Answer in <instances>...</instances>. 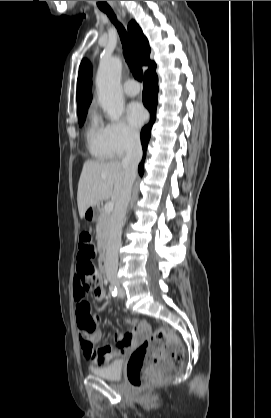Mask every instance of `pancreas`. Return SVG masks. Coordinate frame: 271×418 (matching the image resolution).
Returning a JSON list of instances; mask_svg holds the SVG:
<instances>
[{
    "mask_svg": "<svg viewBox=\"0 0 271 418\" xmlns=\"http://www.w3.org/2000/svg\"><path fill=\"white\" fill-rule=\"evenodd\" d=\"M111 215L106 213L103 207L99 208V217L96 226L98 245L104 249L109 238Z\"/></svg>",
    "mask_w": 271,
    "mask_h": 418,
    "instance_id": "obj_1",
    "label": "pancreas"
}]
</instances>
